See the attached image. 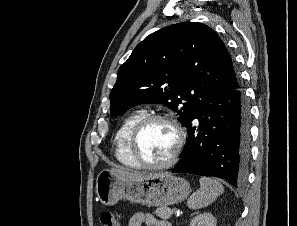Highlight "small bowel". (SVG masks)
<instances>
[{
  "mask_svg": "<svg viewBox=\"0 0 297 226\" xmlns=\"http://www.w3.org/2000/svg\"><path fill=\"white\" fill-rule=\"evenodd\" d=\"M143 224H147L148 226H170L167 221L156 219L143 212L133 214L128 222V226H142Z\"/></svg>",
  "mask_w": 297,
  "mask_h": 226,
  "instance_id": "c3829d8e",
  "label": "small bowel"
}]
</instances>
